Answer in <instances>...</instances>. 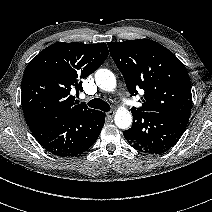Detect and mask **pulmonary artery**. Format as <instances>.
Returning <instances> with one entry per match:
<instances>
[{
	"mask_svg": "<svg viewBox=\"0 0 212 212\" xmlns=\"http://www.w3.org/2000/svg\"><path fill=\"white\" fill-rule=\"evenodd\" d=\"M120 95V99L124 104H128L127 99L124 97V95L122 93L119 94Z\"/></svg>",
	"mask_w": 212,
	"mask_h": 212,
	"instance_id": "1",
	"label": "pulmonary artery"
}]
</instances>
